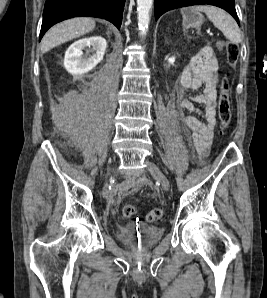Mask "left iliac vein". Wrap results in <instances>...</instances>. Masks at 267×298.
I'll use <instances>...</instances> for the list:
<instances>
[{
  "instance_id": "left-iliac-vein-1",
  "label": "left iliac vein",
  "mask_w": 267,
  "mask_h": 298,
  "mask_svg": "<svg viewBox=\"0 0 267 298\" xmlns=\"http://www.w3.org/2000/svg\"><path fill=\"white\" fill-rule=\"evenodd\" d=\"M145 164L150 174L160 182L162 188L165 191H168L170 188L169 180L167 179L165 174L160 170V168L154 162L149 160H145Z\"/></svg>"
}]
</instances>
